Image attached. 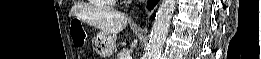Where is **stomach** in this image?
Wrapping results in <instances>:
<instances>
[{
    "label": "stomach",
    "instance_id": "0dacf381",
    "mask_svg": "<svg viewBox=\"0 0 261 59\" xmlns=\"http://www.w3.org/2000/svg\"><path fill=\"white\" fill-rule=\"evenodd\" d=\"M96 52L102 57H111L116 48V37L111 34L99 33L94 39Z\"/></svg>",
    "mask_w": 261,
    "mask_h": 59
}]
</instances>
